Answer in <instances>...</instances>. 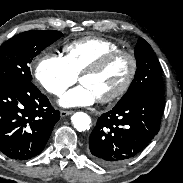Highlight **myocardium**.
Segmentation results:
<instances>
[{
    "label": "myocardium",
    "mask_w": 183,
    "mask_h": 183,
    "mask_svg": "<svg viewBox=\"0 0 183 183\" xmlns=\"http://www.w3.org/2000/svg\"><path fill=\"white\" fill-rule=\"evenodd\" d=\"M119 56H125L129 59L130 61L129 74L126 80L124 81V83L115 92L111 93L106 97L99 98L98 99L99 103H102V104L113 103L119 100L130 89L138 70V61L136 56L131 51L118 49L101 57L99 60H97L92 65L87 67L80 74L79 81L84 76L97 74L102 70H104L107 66H109Z\"/></svg>",
    "instance_id": "1"
}]
</instances>
